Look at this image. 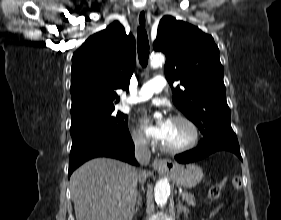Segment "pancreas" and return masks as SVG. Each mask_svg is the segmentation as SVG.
<instances>
[{
    "label": "pancreas",
    "mask_w": 281,
    "mask_h": 220,
    "mask_svg": "<svg viewBox=\"0 0 281 220\" xmlns=\"http://www.w3.org/2000/svg\"><path fill=\"white\" fill-rule=\"evenodd\" d=\"M183 199L187 202L188 205L190 206H195L196 205V201H195V197L193 194L191 193H183Z\"/></svg>",
    "instance_id": "cf45deb5"
}]
</instances>
